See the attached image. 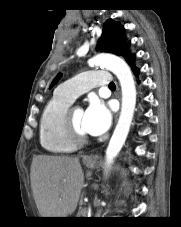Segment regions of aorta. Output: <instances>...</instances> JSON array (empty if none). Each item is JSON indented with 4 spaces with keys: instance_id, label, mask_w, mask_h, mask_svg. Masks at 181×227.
I'll return each instance as SVG.
<instances>
[{
    "instance_id": "aorta-1",
    "label": "aorta",
    "mask_w": 181,
    "mask_h": 227,
    "mask_svg": "<svg viewBox=\"0 0 181 227\" xmlns=\"http://www.w3.org/2000/svg\"><path fill=\"white\" fill-rule=\"evenodd\" d=\"M90 64L112 71L117 76L122 90L121 113L106 150V164L110 166L129 133L136 105V87L131 70L123 59L111 54H98L93 57Z\"/></svg>"
}]
</instances>
